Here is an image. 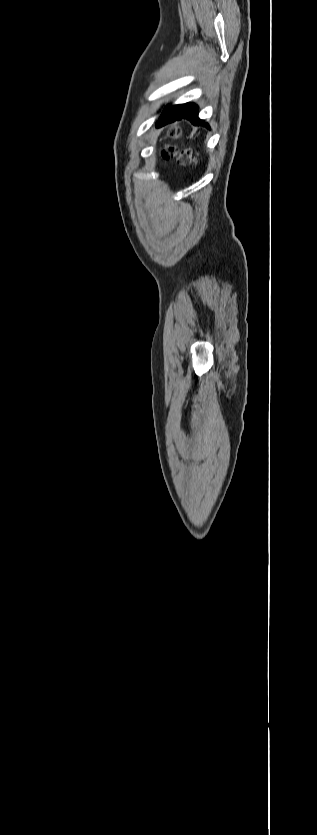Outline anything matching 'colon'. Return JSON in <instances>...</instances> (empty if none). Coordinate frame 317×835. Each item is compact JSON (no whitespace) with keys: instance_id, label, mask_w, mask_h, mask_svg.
Returning a JSON list of instances; mask_svg holds the SVG:
<instances>
[{"instance_id":"1","label":"colon","mask_w":317,"mask_h":835,"mask_svg":"<svg viewBox=\"0 0 317 835\" xmlns=\"http://www.w3.org/2000/svg\"><path fill=\"white\" fill-rule=\"evenodd\" d=\"M170 136L173 139H176L180 136V132L177 129H173L170 131ZM161 155L166 160H176L178 163L185 165L189 163H196L197 162V155L196 152L190 148L179 149L174 144H166L161 151Z\"/></svg>"}]
</instances>
